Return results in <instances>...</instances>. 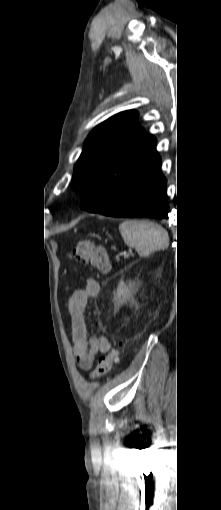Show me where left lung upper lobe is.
Returning <instances> with one entry per match:
<instances>
[{
    "label": "left lung upper lobe",
    "instance_id": "5c2ea615",
    "mask_svg": "<svg viewBox=\"0 0 221 510\" xmlns=\"http://www.w3.org/2000/svg\"><path fill=\"white\" fill-rule=\"evenodd\" d=\"M135 111L118 113L98 125L75 165L72 188L88 208L102 209L158 154L156 139L136 122Z\"/></svg>",
    "mask_w": 221,
    "mask_h": 510
}]
</instances>
